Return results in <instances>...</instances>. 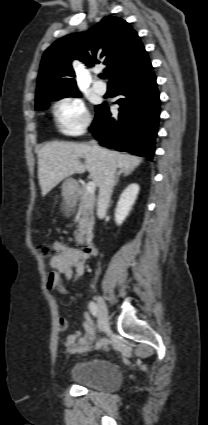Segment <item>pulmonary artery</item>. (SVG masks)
I'll return each mask as SVG.
<instances>
[{"label": "pulmonary artery", "mask_w": 208, "mask_h": 425, "mask_svg": "<svg viewBox=\"0 0 208 425\" xmlns=\"http://www.w3.org/2000/svg\"><path fill=\"white\" fill-rule=\"evenodd\" d=\"M93 89L98 94H105L107 92V86L101 81H97L93 84Z\"/></svg>", "instance_id": "pulmonary-artery-1"}]
</instances>
